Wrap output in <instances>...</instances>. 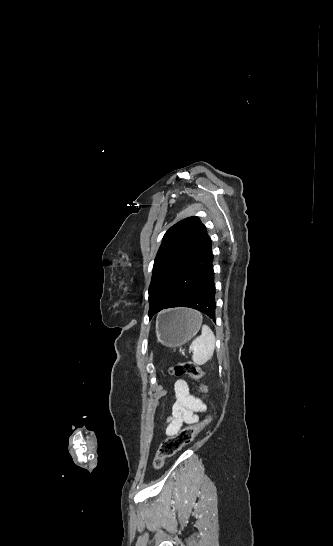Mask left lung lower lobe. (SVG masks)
Here are the masks:
<instances>
[{
  "instance_id": "0a47b994",
  "label": "left lung lower lobe",
  "mask_w": 333,
  "mask_h": 546,
  "mask_svg": "<svg viewBox=\"0 0 333 546\" xmlns=\"http://www.w3.org/2000/svg\"><path fill=\"white\" fill-rule=\"evenodd\" d=\"M212 240L207 235L198 256L176 278L169 289V295L162 309L189 307L196 309L214 322L215 320V278L213 271ZM201 263V270L194 267ZM195 272V273H194Z\"/></svg>"
}]
</instances>
